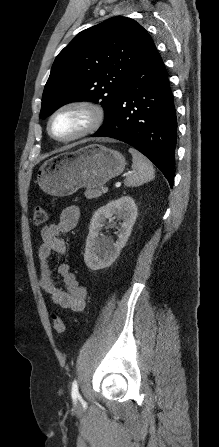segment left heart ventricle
Listing matches in <instances>:
<instances>
[{"label":"left heart ventricle","instance_id":"obj_1","mask_svg":"<svg viewBox=\"0 0 219 447\" xmlns=\"http://www.w3.org/2000/svg\"><path fill=\"white\" fill-rule=\"evenodd\" d=\"M81 111H67L58 115L52 122V132L57 137H68L81 130L87 123Z\"/></svg>","mask_w":219,"mask_h":447}]
</instances>
